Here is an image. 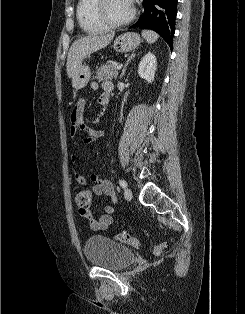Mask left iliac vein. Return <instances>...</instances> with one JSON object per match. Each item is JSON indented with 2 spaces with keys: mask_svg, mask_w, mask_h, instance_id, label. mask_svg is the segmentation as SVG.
I'll return each mask as SVG.
<instances>
[{
  "mask_svg": "<svg viewBox=\"0 0 245 314\" xmlns=\"http://www.w3.org/2000/svg\"><path fill=\"white\" fill-rule=\"evenodd\" d=\"M124 196H125V198L127 200H131L132 199V191H131V189H129V188L125 189Z\"/></svg>",
  "mask_w": 245,
  "mask_h": 314,
  "instance_id": "1",
  "label": "left iliac vein"
}]
</instances>
